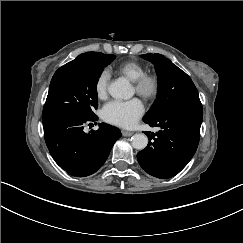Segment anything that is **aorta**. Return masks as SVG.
Here are the masks:
<instances>
[{
	"mask_svg": "<svg viewBox=\"0 0 243 243\" xmlns=\"http://www.w3.org/2000/svg\"><path fill=\"white\" fill-rule=\"evenodd\" d=\"M108 93L115 99H130L134 95V89L126 78H119L108 86ZM131 144L136 150H143L148 144V138L144 134H135Z\"/></svg>",
	"mask_w": 243,
	"mask_h": 243,
	"instance_id": "obj_1",
	"label": "aorta"
}]
</instances>
